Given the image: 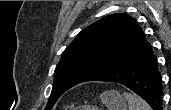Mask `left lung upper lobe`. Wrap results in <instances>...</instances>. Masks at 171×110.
<instances>
[{
  "instance_id": "obj_1",
  "label": "left lung upper lobe",
  "mask_w": 171,
  "mask_h": 110,
  "mask_svg": "<svg viewBox=\"0 0 171 110\" xmlns=\"http://www.w3.org/2000/svg\"><path fill=\"white\" fill-rule=\"evenodd\" d=\"M145 39L137 21L124 13L109 15L83 29L62 53L45 110H51L76 84L91 81L122 62Z\"/></svg>"
}]
</instances>
